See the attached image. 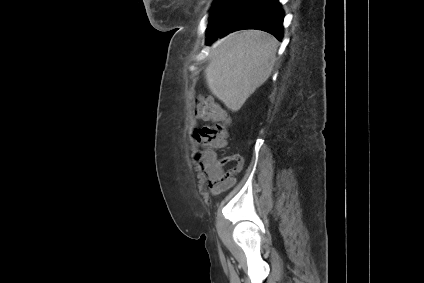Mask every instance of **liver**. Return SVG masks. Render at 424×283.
<instances>
[{"label": "liver", "mask_w": 424, "mask_h": 283, "mask_svg": "<svg viewBox=\"0 0 424 283\" xmlns=\"http://www.w3.org/2000/svg\"><path fill=\"white\" fill-rule=\"evenodd\" d=\"M278 41L261 30L233 32L210 50L205 79L211 93L233 112L271 75Z\"/></svg>", "instance_id": "1"}]
</instances>
